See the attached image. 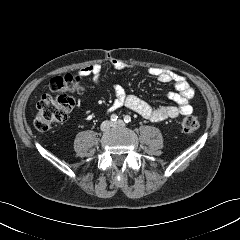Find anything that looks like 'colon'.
<instances>
[{
    "label": "colon",
    "mask_w": 240,
    "mask_h": 240,
    "mask_svg": "<svg viewBox=\"0 0 240 240\" xmlns=\"http://www.w3.org/2000/svg\"><path fill=\"white\" fill-rule=\"evenodd\" d=\"M52 94L44 95L36 105L34 126L38 131H46L53 124L64 122L73 108L74 101L68 93H81V78L73 74L56 76L50 81ZM185 133H194L199 129L197 117L188 115L181 122Z\"/></svg>",
    "instance_id": "obj_1"
}]
</instances>
